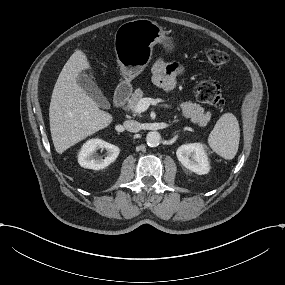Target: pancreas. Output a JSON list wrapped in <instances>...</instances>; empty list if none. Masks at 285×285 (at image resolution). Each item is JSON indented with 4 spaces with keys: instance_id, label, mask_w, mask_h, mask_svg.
I'll return each instance as SVG.
<instances>
[{
    "instance_id": "1",
    "label": "pancreas",
    "mask_w": 285,
    "mask_h": 285,
    "mask_svg": "<svg viewBox=\"0 0 285 285\" xmlns=\"http://www.w3.org/2000/svg\"><path fill=\"white\" fill-rule=\"evenodd\" d=\"M142 97L143 91L140 88L136 89L126 106V110H132V112L136 113L135 107L140 101V99H142ZM180 108L185 118H190L191 122L197 123L201 127L206 126L207 123L210 121L211 114L209 112L204 113V108L201 107L199 104L188 101L182 103L180 105Z\"/></svg>"
}]
</instances>
